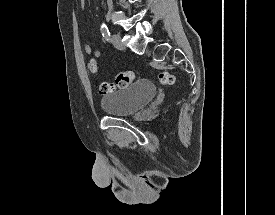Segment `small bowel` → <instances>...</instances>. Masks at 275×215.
Masks as SVG:
<instances>
[{
	"instance_id": "c3829d8e",
	"label": "small bowel",
	"mask_w": 275,
	"mask_h": 215,
	"mask_svg": "<svg viewBox=\"0 0 275 215\" xmlns=\"http://www.w3.org/2000/svg\"><path fill=\"white\" fill-rule=\"evenodd\" d=\"M82 51H83L84 53H86V54H91V53H93V56H94L95 58H99L100 55H101V53H100L99 50H94V51H93L92 46H91L90 44H88V43H84V44H83V46H82Z\"/></svg>"
}]
</instances>
